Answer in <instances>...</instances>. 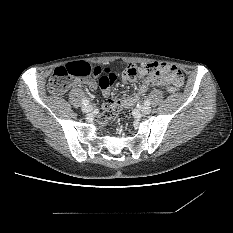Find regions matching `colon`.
Here are the masks:
<instances>
[{"mask_svg":"<svg viewBox=\"0 0 233 233\" xmlns=\"http://www.w3.org/2000/svg\"><path fill=\"white\" fill-rule=\"evenodd\" d=\"M174 68V66L166 64L162 71L167 72ZM109 69L101 66H94L86 61H77L62 67L57 68L48 84V90L52 94H62L66 92L72 85L75 78H86L89 76H103ZM154 69L151 65H135L129 64L122 72V78L127 81L136 76L152 75ZM113 117L111 111L104 112L99 117V123L103 126Z\"/></svg>","mask_w":233,"mask_h":233,"instance_id":"colon-1","label":"colon"}]
</instances>
